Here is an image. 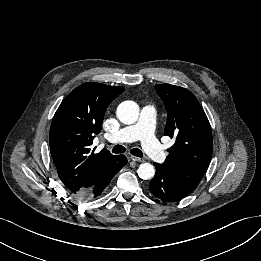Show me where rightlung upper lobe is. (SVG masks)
<instances>
[{"label":"right lung upper lobe","instance_id":"cb5924a9","mask_svg":"<svg viewBox=\"0 0 261 261\" xmlns=\"http://www.w3.org/2000/svg\"><path fill=\"white\" fill-rule=\"evenodd\" d=\"M125 89L101 83L75 88L57 109L49 134L50 151L58 176L71 194L79 195L97 181L114 157L108 150L91 148L102 128L108 105Z\"/></svg>","mask_w":261,"mask_h":261}]
</instances>
